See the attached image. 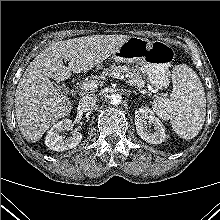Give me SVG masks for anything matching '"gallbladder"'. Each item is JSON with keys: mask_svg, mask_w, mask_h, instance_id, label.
I'll return each instance as SVG.
<instances>
[{"mask_svg": "<svg viewBox=\"0 0 220 220\" xmlns=\"http://www.w3.org/2000/svg\"><path fill=\"white\" fill-rule=\"evenodd\" d=\"M57 88L61 91V92H65L66 91V87L64 85H59L56 84Z\"/></svg>", "mask_w": 220, "mask_h": 220, "instance_id": "1", "label": "gallbladder"}]
</instances>
